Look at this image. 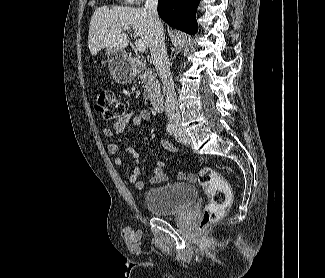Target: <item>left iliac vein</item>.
<instances>
[{"label": "left iliac vein", "instance_id": "4c4485c4", "mask_svg": "<svg viewBox=\"0 0 325 278\" xmlns=\"http://www.w3.org/2000/svg\"><path fill=\"white\" fill-rule=\"evenodd\" d=\"M176 139L183 145L190 144V138L184 131H177L175 134Z\"/></svg>", "mask_w": 325, "mask_h": 278}]
</instances>
